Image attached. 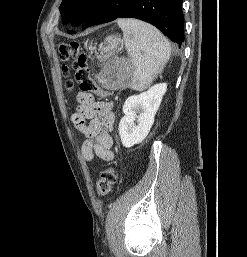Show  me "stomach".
<instances>
[{
    "label": "stomach",
    "instance_id": "stomach-1",
    "mask_svg": "<svg viewBox=\"0 0 247 257\" xmlns=\"http://www.w3.org/2000/svg\"><path fill=\"white\" fill-rule=\"evenodd\" d=\"M108 45L100 51L101 60H106L113 56L117 52L118 45L120 43V38L118 36H111L107 38ZM88 48V46H86ZM131 64H123L117 75V87L131 86L132 80L134 78L132 72Z\"/></svg>",
    "mask_w": 247,
    "mask_h": 257
}]
</instances>
